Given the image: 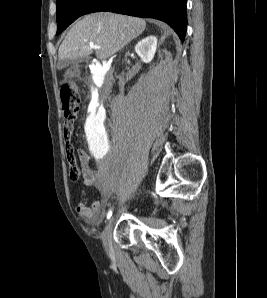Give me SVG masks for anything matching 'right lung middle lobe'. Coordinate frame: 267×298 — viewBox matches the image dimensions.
I'll use <instances>...</instances> for the list:
<instances>
[{"label":"right lung middle lobe","mask_w":267,"mask_h":298,"mask_svg":"<svg viewBox=\"0 0 267 298\" xmlns=\"http://www.w3.org/2000/svg\"><path fill=\"white\" fill-rule=\"evenodd\" d=\"M101 0H56L57 34H60L78 17L92 12Z\"/></svg>","instance_id":"dd1d6c3e"}]
</instances>
